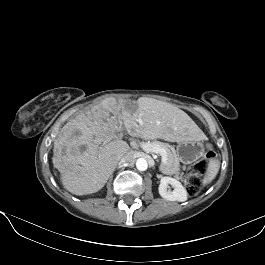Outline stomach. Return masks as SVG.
Masks as SVG:
<instances>
[{"mask_svg":"<svg viewBox=\"0 0 265 265\" xmlns=\"http://www.w3.org/2000/svg\"><path fill=\"white\" fill-rule=\"evenodd\" d=\"M176 153L180 162L191 164L202 157L204 146L199 140H183L178 142Z\"/></svg>","mask_w":265,"mask_h":265,"instance_id":"0dacf381","label":"stomach"}]
</instances>
